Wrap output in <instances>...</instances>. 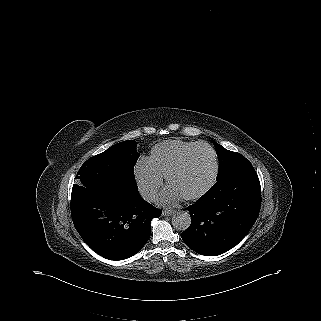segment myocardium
I'll list each match as a JSON object with an SVG mask.
<instances>
[{"mask_svg":"<svg viewBox=\"0 0 321 321\" xmlns=\"http://www.w3.org/2000/svg\"><path fill=\"white\" fill-rule=\"evenodd\" d=\"M199 148H207L208 150L211 151L213 155V162H214V168H213V174L209 182L202 187L200 190H198L195 193L188 194V195H183V198L185 200H195L203 196L205 193H207L215 184L217 177H218V172H219V163H218V157L216 154V151L214 148L207 144V143H198L196 144L193 148H191L186 155H184L167 173L166 175V183L168 186H170L171 180L174 175H176L179 171H181L189 161L191 155L193 152Z\"/></svg>","mask_w":321,"mask_h":321,"instance_id":"1","label":"myocardium"}]
</instances>
